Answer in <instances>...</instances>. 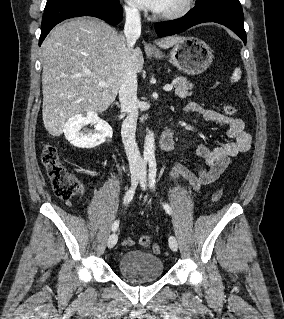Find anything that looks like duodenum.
<instances>
[{
    "label": "duodenum",
    "mask_w": 284,
    "mask_h": 319,
    "mask_svg": "<svg viewBox=\"0 0 284 319\" xmlns=\"http://www.w3.org/2000/svg\"><path fill=\"white\" fill-rule=\"evenodd\" d=\"M174 145V132L167 130L163 132L159 139V146L162 150H170Z\"/></svg>",
    "instance_id": "1"
}]
</instances>
